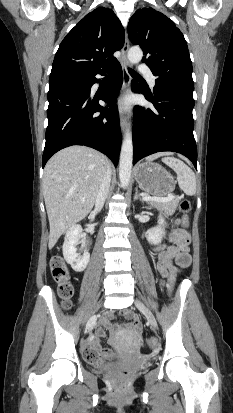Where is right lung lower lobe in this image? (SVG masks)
I'll use <instances>...</instances> for the list:
<instances>
[{
    "mask_svg": "<svg viewBox=\"0 0 233 413\" xmlns=\"http://www.w3.org/2000/svg\"><path fill=\"white\" fill-rule=\"evenodd\" d=\"M109 71L113 73L112 80L100 97L111 108L105 109L98 98H90V90L98 82L95 75H105ZM122 82V68L117 61L103 70L49 81L43 167L53 154L71 145L97 149L117 166L121 130L115 102ZM97 111L101 113L96 115Z\"/></svg>",
    "mask_w": 233,
    "mask_h": 413,
    "instance_id": "obj_1",
    "label": "right lung lower lobe"
}]
</instances>
